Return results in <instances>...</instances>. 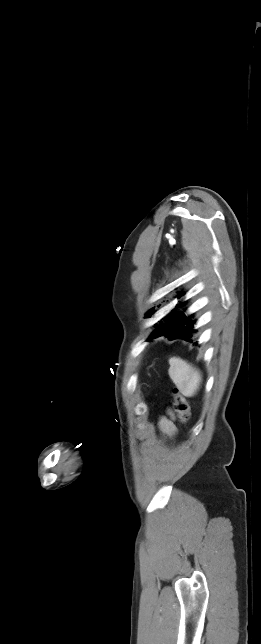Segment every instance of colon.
Masks as SVG:
<instances>
[{"mask_svg":"<svg viewBox=\"0 0 261 644\" xmlns=\"http://www.w3.org/2000/svg\"><path fill=\"white\" fill-rule=\"evenodd\" d=\"M174 409L182 422L189 420L191 415L190 404L185 396L178 389H174Z\"/></svg>","mask_w":261,"mask_h":644,"instance_id":"1","label":"colon"}]
</instances>
